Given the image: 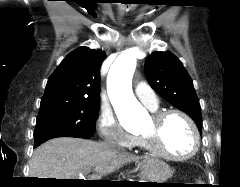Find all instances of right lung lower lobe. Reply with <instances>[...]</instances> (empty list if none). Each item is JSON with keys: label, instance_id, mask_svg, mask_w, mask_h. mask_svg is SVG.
Listing matches in <instances>:
<instances>
[{"label": "right lung lower lobe", "instance_id": "1", "mask_svg": "<svg viewBox=\"0 0 240 187\" xmlns=\"http://www.w3.org/2000/svg\"><path fill=\"white\" fill-rule=\"evenodd\" d=\"M56 137H77V136L67 134V133H62V132L46 134V135L35 138L34 147H38L40 144L44 143L45 141L52 138H56Z\"/></svg>", "mask_w": 240, "mask_h": 187}]
</instances>
